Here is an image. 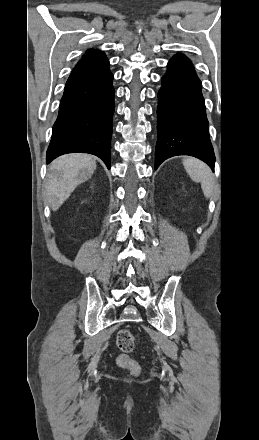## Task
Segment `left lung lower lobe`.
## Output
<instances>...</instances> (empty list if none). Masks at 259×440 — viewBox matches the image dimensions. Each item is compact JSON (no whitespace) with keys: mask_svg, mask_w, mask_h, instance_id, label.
I'll list each match as a JSON object with an SVG mask.
<instances>
[{"mask_svg":"<svg viewBox=\"0 0 259 440\" xmlns=\"http://www.w3.org/2000/svg\"><path fill=\"white\" fill-rule=\"evenodd\" d=\"M167 68L158 93L155 169L176 155L194 156L214 169L201 81L182 54L175 55Z\"/></svg>","mask_w":259,"mask_h":440,"instance_id":"left-lung-lower-lobe-1","label":"left lung lower lobe"}]
</instances>
